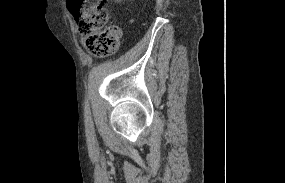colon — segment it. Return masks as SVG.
Wrapping results in <instances>:
<instances>
[{"label": "colon", "instance_id": "obj_1", "mask_svg": "<svg viewBox=\"0 0 285 183\" xmlns=\"http://www.w3.org/2000/svg\"><path fill=\"white\" fill-rule=\"evenodd\" d=\"M68 9L73 16L78 32L84 36V47L94 56L106 57L119 49L121 29L109 25L105 0H68Z\"/></svg>", "mask_w": 285, "mask_h": 183}]
</instances>
